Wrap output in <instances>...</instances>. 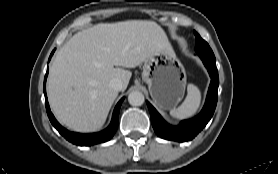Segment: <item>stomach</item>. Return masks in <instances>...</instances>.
I'll return each mask as SVG.
<instances>
[{
    "label": "stomach",
    "instance_id": "1",
    "mask_svg": "<svg viewBox=\"0 0 278 174\" xmlns=\"http://www.w3.org/2000/svg\"><path fill=\"white\" fill-rule=\"evenodd\" d=\"M142 80L154 102L163 109H171L181 101L187 84L186 71L172 48L144 61Z\"/></svg>",
    "mask_w": 278,
    "mask_h": 174
}]
</instances>
